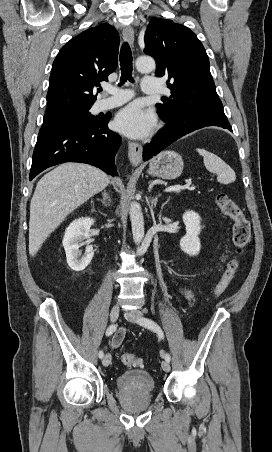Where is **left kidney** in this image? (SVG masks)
<instances>
[{"label":"left kidney","instance_id":"left-kidney-1","mask_svg":"<svg viewBox=\"0 0 272 452\" xmlns=\"http://www.w3.org/2000/svg\"><path fill=\"white\" fill-rule=\"evenodd\" d=\"M201 218L194 211H186L183 214V222L186 226V235L180 240L181 250L190 255L196 256L201 249L199 234L201 232Z\"/></svg>","mask_w":272,"mask_h":452}]
</instances>
